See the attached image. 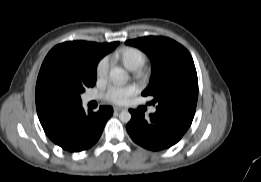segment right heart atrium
<instances>
[{
	"label": "right heart atrium",
	"mask_w": 261,
	"mask_h": 182,
	"mask_svg": "<svg viewBox=\"0 0 261 182\" xmlns=\"http://www.w3.org/2000/svg\"><path fill=\"white\" fill-rule=\"evenodd\" d=\"M110 60L107 57L102 58L96 67V78L98 81H102L107 78L110 70Z\"/></svg>",
	"instance_id": "obj_1"
}]
</instances>
